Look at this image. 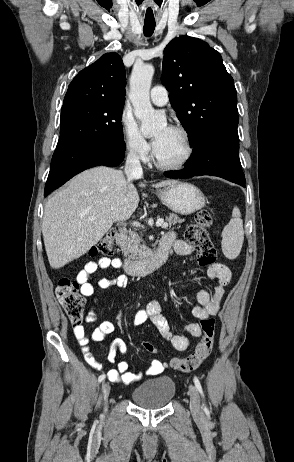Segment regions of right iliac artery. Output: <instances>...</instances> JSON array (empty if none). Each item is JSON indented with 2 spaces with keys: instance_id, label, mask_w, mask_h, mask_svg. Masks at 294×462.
<instances>
[{
  "instance_id": "1",
  "label": "right iliac artery",
  "mask_w": 294,
  "mask_h": 462,
  "mask_svg": "<svg viewBox=\"0 0 294 462\" xmlns=\"http://www.w3.org/2000/svg\"><path fill=\"white\" fill-rule=\"evenodd\" d=\"M105 378H106L105 374H102V375L99 376L98 381L102 382V381L105 380Z\"/></svg>"
}]
</instances>
